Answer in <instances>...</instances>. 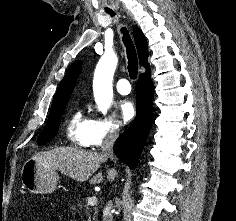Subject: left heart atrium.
<instances>
[{
	"label": "left heart atrium",
	"mask_w": 236,
	"mask_h": 221,
	"mask_svg": "<svg viewBox=\"0 0 236 221\" xmlns=\"http://www.w3.org/2000/svg\"><path fill=\"white\" fill-rule=\"evenodd\" d=\"M119 112L123 121L128 122L135 116V107L131 101L123 99L119 102Z\"/></svg>",
	"instance_id": "obj_1"
}]
</instances>
